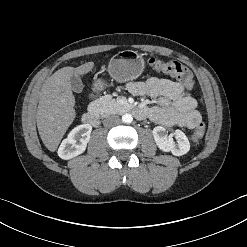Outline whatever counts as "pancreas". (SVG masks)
Wrapping results in <instances>:
<instances>
[{"label": "pancreas", "instance_id": "obj_1", "mask_svg": "<svg viewBox=\"0 0 247 247\" xmlns=\"http://www.w3.org/2000/svg\"><path fill=\"white\" fill-rule=\"evenodd\" d=\"M92 105L101 116L119 113L124 109V106L113 99L111 95H104L96 99Z\"/></svg>", "mask_w": 247, "mask_h": 247}]
</instances>
